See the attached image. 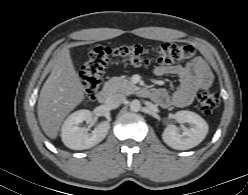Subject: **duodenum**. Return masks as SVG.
Listing matches in <instances>:
<instances>
[{
  "label": "duodenum",
  "mask_w": 248,
  "mask_h": 195,
  "mask_svg": "<svg viewBox=\"0 0 248 195\" xmlns=\"http://www.w3.org/2000/svg\"><path fill=\"white\" fill-rule=\"evenodd\" d=\"M138 94H140L141 96H146L148 94V90L145 88H141L138 90ZM98 101L100 103H110L112 101L113 98V91L110 87H103L97 95Z\"/></svg>",
  "instance_id": "duodenum-1"
}]
</instances>
